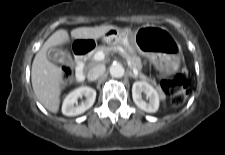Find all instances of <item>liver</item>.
<instances>
[{
	"label": "liver",
	"mask_w": 225,
	"mask_h": 155,
	"mask_svg": "<svg viewBox=\"0 0 225 155\" xmlns=\"http://www.w3.org/2000/svg\"><path fill=\"white\" fill-rule=\"evenodd\" d=\"M118 29L116 26L81 27L71 31V36L77 40H96L108 31ZM70 41L67 30L60 29L52 34L37 52L32 63L31 81L38 101L49 111L57 113L60 106V96L64 85L62 69L47 58L50 47L66 44Z\"/></svg>",
	"instance_id": "1"
}]
</instances>
